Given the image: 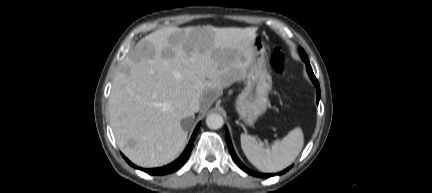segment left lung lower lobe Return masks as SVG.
Returning a JSON list of instances; mask_svg holds the SVG:
<instances>
[{
	"label": "left lung lower lobe",
	"mask_w": 432,
	"mask_h": 193,
	"mask_svg": "<svg viewBox=\"0 0 432 193\" xmlns=\"http://www.w3.org/2000/svg\"><path fill=\"white\" fill-rule=\"evenodd\" d=\"M301 58H302V60L306 63V67H307V71H308L309 77L311 78L312 82L314 83V85H315V87H316V90H317V103H318V102H319V99H320V86H319V83H318V81H317V79H316V77H315V75H314V73H313V71H312V68H311V66H310V63H309L308 58H307L306 56H301ZM225 135H226V140H227V144H228L229 150H230V152H231V155H232V157L234 158V160H235V162L237 163V165H238L242 170H244V171L247 172L248 174L253 175V176H256V177H263V178H267V177L272 176L271 174L256 173V172H253V171L247 169V168L244 166V164L239 160V158L237 157V155H236V153H235V151H234V149H233V146H232L231 139H230L229 132H228L227 128H226ZM290 168H291V167L285 169L282 173L287 172ZM280 174H281V173H280Z\"/></svg>",
	"instance_id": "1"
}]
</instances>
